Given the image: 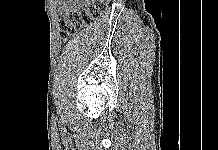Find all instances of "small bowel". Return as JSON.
Instances as JSON below:
<instances>
[{
	"mask_svg": "<svg viewBox=\"0 0 218 150\" xmlns=\"http://www.w3.org/2000/svg\"><path fill=\"white\" fill-rule=\"evenodd\" d=\"M59 5V12L67 14L70 11L77 10L78 8L88 5L92 0H57Z\"/></svg>",
	"mask_w": 218,
	"mask_h": 150,
	"instance_id": "small-bowel-1",
	"label": "small bowel"
}]
</instances>
